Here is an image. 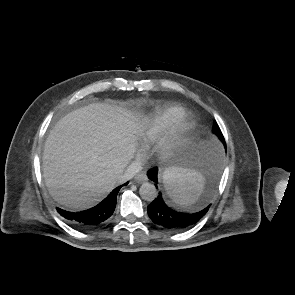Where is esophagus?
Here are the masks:
<instances>
[{
	"label": "esophagus",
	"mask_w": 295,
	"mask_h": 295,
	"mask_svg": "<svg viewBox=\"0 0 295 295\" xmlns=\"http://www.w3.org/2000/svg\"><path fill=\"white\" fill-rule=\"evenodd\" d=\"M148 180V178H147V175H146V173H140V174H138L136 177H135V181H137V182H145V181H147Z\"/></svg>",
	"instance_id": "1"
}]
</instances>
